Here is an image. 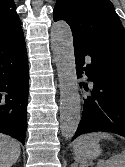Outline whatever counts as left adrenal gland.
<instances>
[{"label":"left adrenal gland","mask_w":125,"mask_h":167,"mask_svg":"<svg viewBox=\"0 0 125 167\" xmlns=\"http://www.w3.org/2000/svg\"><path fill=\"white\" fill-rule=\"evenodd\" d=\"M71 167H76L75 164H72Z\"/></svg>","instance_id":"left-adrenal-gland-1"}]
</instances>
